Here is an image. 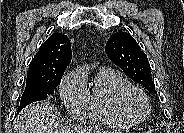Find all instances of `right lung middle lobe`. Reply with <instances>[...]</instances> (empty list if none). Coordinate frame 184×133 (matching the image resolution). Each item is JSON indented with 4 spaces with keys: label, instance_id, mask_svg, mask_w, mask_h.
Returning <instances> with one entry per match:
<instances>
[{
    "label": "right lung middle lobe",
    "instance_id": "1",
    "mask_svg": "<svg viewBox=\"0 0 184 133\" xmlns=\"http://www.w3.org/2000/svg\"><path fill=\"white\" fill-rule=\"evenodd\" d=\"M61 78L55 77L47 82H26L18 112L30 103L45 100L53 95L54 89L60 84Z\"/></svg>",
    "mask_w": 184,
    "mask_h": 133
}]
</instances>
